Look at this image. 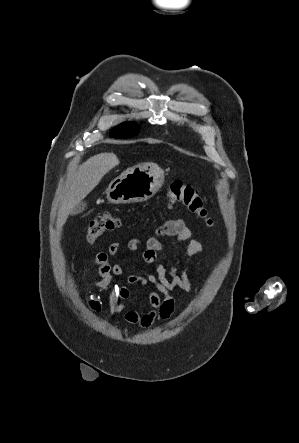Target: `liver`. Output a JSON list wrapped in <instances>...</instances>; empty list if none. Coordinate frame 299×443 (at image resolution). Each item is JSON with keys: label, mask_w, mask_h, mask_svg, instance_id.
<instances>
[{"label": "liver", "mask_w": 299, "mask_h": 443, "mask_svg": "<svg viewBox=\"0 0 299 443\" xmlns=\"http://www.w3.org/2000/svg\"><path fill=\"white\" fill-rule=\"evenodd\" d=\"M119 164L114 153H100L86 160L76 172L69 189L61 203L57 215L56 228L58 235L71 210L81 202L101 181L103 176Z\"/></svg>", "instance_id": "6515ba94"}]
</instances>
